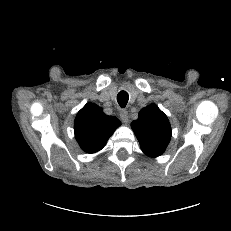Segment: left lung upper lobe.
I'll list each match as a JSON object with an SVG mask.
<instances>
[{"label":"left lung upper lobe","instance_id":"left-lung-upper-lobe-1","mask_svg":"<svg viewBox=\"0 0 231 231\" xmlns=\"http://www.w3.org/2000/svg\"><path fill=\"white\" fill-rule=\"evenodd\" d=\"M131 127L140 143L141 150L150 157L164 153L171 139V126L165 113L156 104H150L139 112Z\"/></svg>","mask_w":231,"mask_h":231}]
</instances>
